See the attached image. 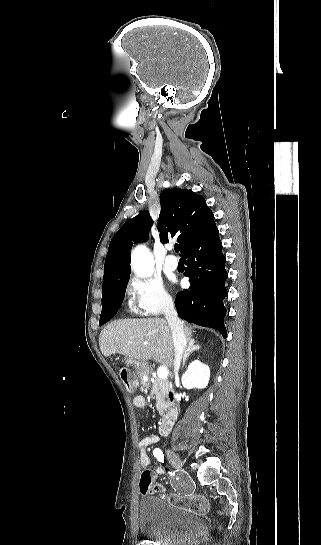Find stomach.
Returning a JSON list of instances; mask_svg holds the SVG:
<instances>
[{"mask_svg": "<svg viewBox=\"0 0 321 545\" xmlns=\"http://www.w3.org/2000/svg\"><path fill=\"white\" fill-rule=\"evenodd\" d=\"M127 365L133 367L139 379H141L142 375H145V371H148L149 369L148 361H136V359H127Z\"/></svg>", "mask_w": 321, "mask_h": 545, "instance_id": "stomach-1", "label": "stomach"}]
</instances>
